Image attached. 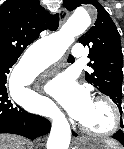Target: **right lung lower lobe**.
I'll use <instances>...</instances> for the list:
<instances>
[{
  "label": "right lung lower lobe",
  "instance_id": "right-lung-lower-lobe-1",
  "mask_svg": "<svg viewBox=\"0 0 124 149\" xmlns=\"http://www.w3.org/2000/svg\"><path fill=\"white\" fill-rule=\"evenodd\" d=\"M16 58L0 60V133H11L27 137L31 140L49 133L50 122L35 114H31L11 102L6 89L7 76Z\"/></svg>",
  "mask_w": 124,
  "mask_h": 149
}]
</instances>
